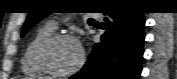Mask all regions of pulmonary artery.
Returning <instances> with one entry per match:
<instances>
[{"instance_id": "e3ab8cb5", "label": "pulmonary artery", "mask_w": 177, "mask_h": 79, "mask_svg": "<svg viewBox=\"0 0 177 79\" xmlns=\"http://www.w3.org/2000/svg\"><path fill=\"white\" fill-rule=\"evenodd\" d=\"M66 20H68V19H66ZM49 25H50L51 27H53V28H56V27H57V24H56L55 22H50Z\"/></svg>"}]
</instances>
